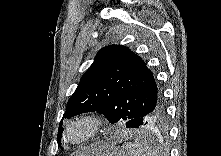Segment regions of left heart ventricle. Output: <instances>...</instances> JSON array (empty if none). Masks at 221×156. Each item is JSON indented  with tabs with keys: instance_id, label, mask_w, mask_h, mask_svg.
I'll return each mask as SVG.
<instances>
[{
	"instance_id": "1",
	"label": "left heart ventricle",
	"mask_w": 221,
	"mask_h": 156,
	"mask_svg": "<svg viewBox=\"0 0 221 156\" xmlns=\"http://www.w3.org/2000/svg\"><path fill=\"white\" fill-rule=\"evenodd\" d=\"M84 131H85L84 128H78V129H75L72 134H73V136H79V135L83 134Z\"/></svg>"
}]
</instances>
